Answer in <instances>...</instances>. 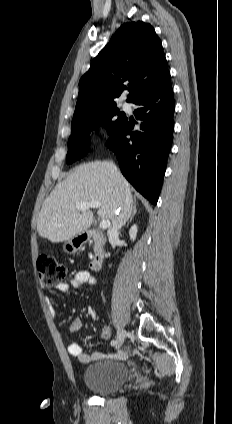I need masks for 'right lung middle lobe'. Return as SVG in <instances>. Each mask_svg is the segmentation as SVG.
Instances as JSON below:
<instances>
[{
    "instance_id": "dd1d6c3e",
    "label": "right lung middle lobe",
    "mask_w": 232,
    "mask_h": 424,
    "mask_svg": "<svg viewBox=\"0 0 232 424\" xmlns=\"http://www.w3.org/2000/svg\"><path fill=\"white\" fill-rule=\"evenodd\" d=\"M127 122L116 105L86 112L72 120L71 135L68 140L67 164H70L89 152V134L99 126L107 129L110 136Z\"/></svg>"
}]
</instances>
